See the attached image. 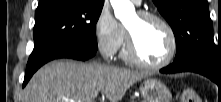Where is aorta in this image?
<instances>
[{"mask_svg": "<svg viewBox=\"0 0 221 102\" xmlns=\"http://www.w3.org/2000/svg\"><path fill=\"white\" fill-rule=\"evenodd\" d=\"M117 19L124 22L135 15V8L130 0H110Z\"/></svg>", "mask_w": 221, "mask_h": 102, "instance_id": "obj_1", "label": "aorta"}]
</instances>
